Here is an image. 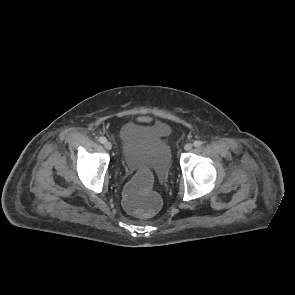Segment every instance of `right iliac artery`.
<instances>
[{
  "instance_id": "82829eb1",
  "label": "right iliac artery",
  "mask_w": 295,
  "mask_h": 295,
  "mask_svg": "<svg viewBox=\"0 0 295 295\" xmlns=\"http://www.w3.org/2000/svg\"><path fill=\"white\" fill-rule=\"evenodd\" d=\"M107 140H106V138L105 137H100L99 138V142L100 143H105Z\"/></svg>"
}]
</instances>
